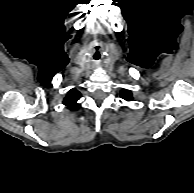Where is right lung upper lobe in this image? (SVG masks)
Segmentation results:
<instances>
[{
	"instance_id": "right-lung-upper-lobe-1",
	"label": "right lung upper lobe",
	"mask_w": 194,
	"mask_h": 193,
	"mask_svg": "<svg viewBox=\"0 0 194 193\" xmlns=\"http://www.w3.org/2000/svg\"><path fill=\"white\" fill-rule=\"evenodd\" d=\"M81 97V94L76 89H71L67 96L64 98V105H66L70 110H75L78 107L77 100Z\"/></svg>"
}]
</instances>
